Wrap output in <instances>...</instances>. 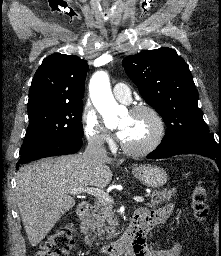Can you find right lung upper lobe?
<instances>
[{"label": "right lung upper lobe", "instance_id": "1", "mask_svg": "<svg viewBox=\"0 0 221 256\" xmlns=\"http://www.w3.org/2000/svg\"><path fill=\"white\" fill-rule=\"evenodd\" d=\"M87 70V62L75 55L48 56L32 80L27 109L83 103Z\"/></svg>", "mask_w": 221, "mask_h": 256}]
</instances>
